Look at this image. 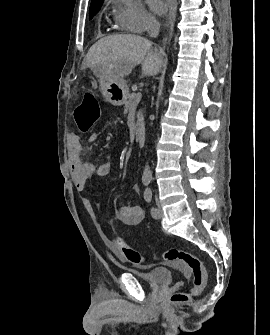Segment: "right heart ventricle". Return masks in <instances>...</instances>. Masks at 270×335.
I'll use <instances>...</instances> for the list:
<instances>
[{"instance_id":"1","label":"right heart ventricle","mask_w":270,"mask_h":335,"mask_svg":"<svg viewBox=\"0 0 270 335\" xmlns=\"http://www.w3.org/2000/svg\"><path fill=\"white\" fill-rule=\"evenodd\" d=\"M114 21H115V23H117L116 16L114 17ZM117 24H118V23H117ZM165 80H167V77H164V78H163V81H165Z\"/></svg>"}]
</instances>
